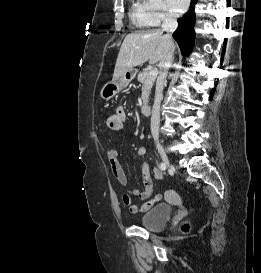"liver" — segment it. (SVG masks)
<instances>
[{
	"label": "liver",
	"mask_w": 261,
	"mask_h": 273,
	"mask_svg": "<svg viewBox=\"0 0 261 273\" xmlns=\"http://www.w3.org/2000/svg\"><path fill=\"white\" fill-rule=\"evenodd\" d=\"M167 40L160 29L128 34L121 45L112 81L146 61L160 63L167 51Z\"/></svg>",
	"instance_id": "obj_1"
}]
</instances>
